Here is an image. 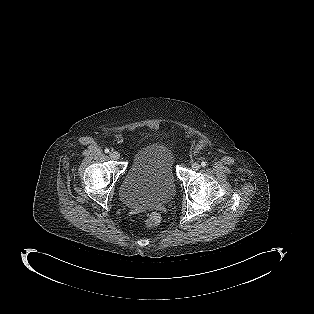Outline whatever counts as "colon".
I'll use <instances>...</instances> for the list:
<instances>
[{"mask_svg": "<svg viewBox=\"0 0 314 314\" xmlns=\"http://www.w3.org/2000/svg\"><path fill=\"white\" fill-rule=\"evenodd\" d=\"M160 222H161V217L158 213L150 214L148 219H147V225L149 227H155V226L159 225Z\"/></svg>", "mask_w": 314, "mask_h": 314, "instance_id": "5ec220e1", "label": "colon"}]
</instances>
